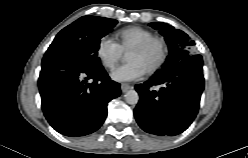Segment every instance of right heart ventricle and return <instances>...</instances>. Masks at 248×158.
Segmentation results:
<instances>
[{
  "mask_svg": "<svg viewBox=\"0 0 248 158\" xmlns=\"http://www.w3.org/2000/svg\"><path fill=\"white\" fill-rule=\"evenodd\" d=\"M153 36V33L139 26H131L119 29L114 33V39L122 50L127 53L133 46L146 38Z\"/></svg>",
  "mask_w": 248,
  "mask_h": 158,
  "instance_id": "obj_1",
  "label": "right heart ventricle"
}]
</instances>
